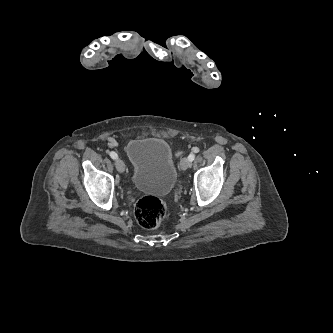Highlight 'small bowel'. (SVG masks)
I'll use <instances>...</instances> for the list:
<instances>
[{
  "instance_id": "1",
  "label": "small bowel",
  "mask_w": 333,
  "mask_h": 333,
  "mask_svg": "<svg viewBox=\"0 0 333 333\" xmlns=\"http://www.w3.org/2000/svg\"><path fill=\"white\" fill-rule=\"evenodd\" d=\"M108 144H109L110 146L114 145V140L111 139V138H109V139H108Z\"/></svg>"
}]
</instances>
